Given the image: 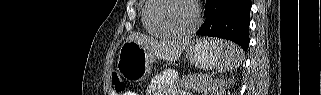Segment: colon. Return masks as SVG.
<instances>
[{
    "label": "colon",
    "instance_id": "obj_1",
    "mask_svg": "<svg viewBox=\"0 0 321 95\" xmlns=\"http://www.w3.org/2000/svg\"><path fill=\"white\" fill-rule=\"evenodd\" d=\"M111 80H112V84H113L114 89L118 93H123L125 91V89H126L125 83L123 82L121 77L118 75V73L113 72L112 76H111Z\"/></svg>",
    "mask_w": 321,
    "mask_h": 95
}]
</instances>
